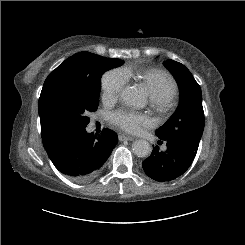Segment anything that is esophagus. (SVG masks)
I'll return each instance as SVG.
<instances>
[{
  "instance_id": "1",
  "label": "esophagus",
  "mask_w": 245,
  "mask_h": 245,
  "mask_svg": "<svg viewBox=\"0 0 245 245\" xmlns=\"http://www.w3.org/2000/svg\"><path fill=\"white\" fill-rule=\"evenodd\" d=\"M118 138H119L120 141H132V140H134V137L128 136V135H124V134H120L118 136Z\"/></svg>"
}]
</instances>
